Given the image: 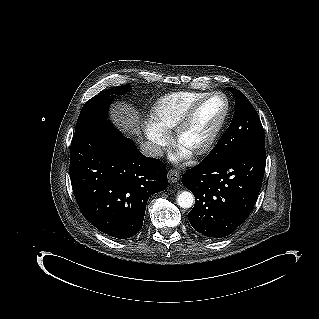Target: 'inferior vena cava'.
Masks as SVG:
<instances>
[{
  "mask_svg": "<svg viewBox=\"0 0 319 319\" xmlns=\"http://www.w3.org/2000/svg\"><path fill=\"white\" fill-rule=\"evenodd\" d=\"M140 149H141V152L147 157H153V158L161 157L163 156V153H164L160 145H157L149 141L144 142L141 145Z\"/></svg>",
  "mask_w": 319,
  "mask_h": 319,
  "instance_id": "602c4592",
  "label": "inferior vena cava"
}]
</instances>
